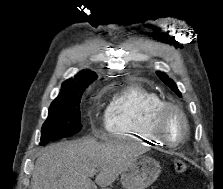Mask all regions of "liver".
Returning <instances> with one entry per match:
<instances>
[{"label": "liver", "mask_w": 223, "mask_h": 189, "mask_svg": "<svg viewBox=\"0 0 223 189\" xmlns=\"http://www.w3.org/2000/svg\"><path fill=\"white\" fill-rule=\"evenodd\" d=\"M139 154L133 144L94 138L52 144L36 160L31 189H108ZM92 170L99 172L95 182L90 179Z\"/></svg>", "instance_id": "6515ba94"}]
</instances>
